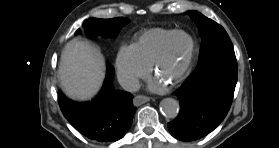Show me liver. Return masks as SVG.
Masks as SVG:
<instances>
[{
	"instance_id": "liver-1",
	"label": "liver",
	"mask_w": 279,
	"mask_h": 148,
	"mask_svg": "<svg viewBox=\"0 0 279 148\" xmlns=\"http://www.w3.org/2000/svg\"><path fill=\"white\" fill-rule=\"evenodd\" d=\"M105 71L104 58L88 42L71 41L61 55L59 78L64 91L72 98H91L100 88Z\"/></svg>"
}]
</instances>
